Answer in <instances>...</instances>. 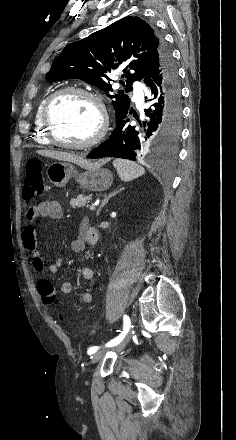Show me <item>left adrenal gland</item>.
<instances>
[{"mask_svg":"<svg viewBox=\"0 0 236 440\" xmlns=\"http://www.w3.org/2000/svg\"><path fill=\"white\" fill-rule=\"evenodd\" d=\"M122 190H124V187H121L120 189H118V190L114 191L113 193L109 194L108 196H105L104 200L102 201L100 207H99L98 210H97L96 215H97V216L99 215L101 209H102V208L108 203V201H109V199H110L111 197H113L114 195H116L117 193H119V192L122 191Z\"/></svg>","mask_w":236,"mask_h":440,"instance_id":"1","label":"left adrenal gland"}]
</instances>
